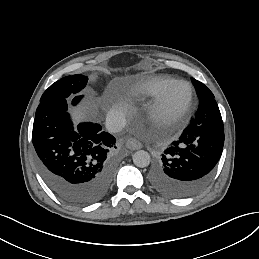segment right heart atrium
<instances>
[{
	"mask_svg": "<svg viewBox=\"0 0 259 259\" xmlns=\"http://www.w3.org/2000/svg\"><path fill=\"white\" fill-rule=\"evenodd\" d=\"M112 100L113 111L111 115L123 122L127 121L131 112L133 111V103L131 100L126 96H118Z\"/></svg>",
	"mask_w": 259,
	"mask_h": 259,
	"instance_id": "1",
	"label": "right heart atrium"
}]
</instances>
